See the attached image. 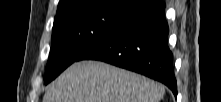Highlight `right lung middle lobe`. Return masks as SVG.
Wrapping results in <instances>:
<instances>
[{
  "instance_id": "1",
  "label": "right lung middle lobe",
  "mask_w": 221,
  "mask_h": 102,
  "mask_svg": "<svg viewBox=\"0 0 221 102\" xmlns=\"http://www.w3.org/2000/svg\"><path fill=\"white\" fill-rule=\"evenodd\" d=\"M138 11L125 0H87L56 14L45 84Z\"/></svg>"
}]
</instances>
